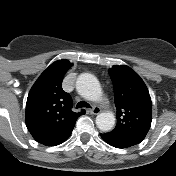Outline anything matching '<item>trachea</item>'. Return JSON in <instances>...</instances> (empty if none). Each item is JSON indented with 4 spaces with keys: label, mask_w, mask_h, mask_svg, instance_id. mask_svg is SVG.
<instances>
[{
    "label": "trachea",
    "mask_w": 176,
    "mask_h": 176,
    "mask_svg": "<svg viewBox=\"0 0 176 176\" xmlns=\"http://www.w3.org/2000/svg\"><path fill=\"white\" fill-rule=\"evenodd\" d=\"M82 107H86V108H92L88 103L86 102H79L77 105H76V108H82Z\"/></svg>",
    "instance_id": "3493384b"
}]
</instances>
